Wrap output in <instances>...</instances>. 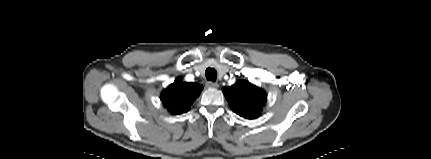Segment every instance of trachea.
<instances>
[{"label":"trachea","mask_w":431,"mask_h":159,"mask_svg":"<svg viewBox=\"0 0 431 159\" xmlns=\"http://www.w3.org/2000/svg\"><path fill=\"white\" fill-rule=\"evenodd\" d=\"M205 75H206L207 80H209V81L214 82L217 78V72L214 68H207L205 71Z\"/></svg>","instance_id":"3493384b"}]
</instances>
